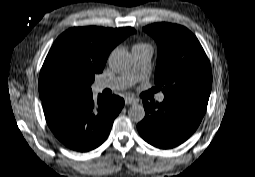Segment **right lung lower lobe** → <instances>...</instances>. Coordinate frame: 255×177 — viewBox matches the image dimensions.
Segmentation results:
<instances>
[{
	"label": "right lung lower lobe",
	"mask_w": 255,
	"mask_h": 177,
	"mask_svg": "<svg viewBox=\"0 0 255 177\" xmlns=\"http://www.w3.org/2000/svg\"><path fill=\"white\" fill-rule=\"evenodd\" d=\"M45 118L54 135L67 147L90 151L108 137L113 121L124 106L119 96L98 101L92 91L61 98L42 100Z\"/></svg>",
	"instance_id": "obj_1"
}]
</instances>
